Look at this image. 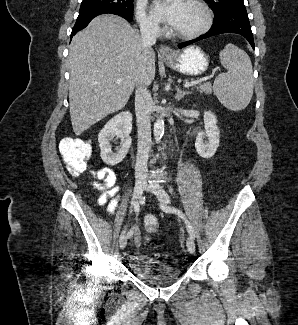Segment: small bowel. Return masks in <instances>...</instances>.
Listing matches in <instances>:
<instances>
[{
    "label": "small bowel",
    "instance_id": "small-bowel-1",
    "mask_svg": "<svg viewBox=\"0 0 298 325\" xmlns=\"http://www.w3.org/2000/svg\"><path fill=\"white\" fill-rule=\"evenodd\" d=\"M92 173L95 177L92 186L102 192L101 196L98 198V204L100 206L107 205L108 213L113 214L120 200L118 196L119 185L117 184L115 172L111 168L104 167L94 170Z\"/></svg>",
    "mask_w": 298,
    "mask_h": 325
}]
</instances>
